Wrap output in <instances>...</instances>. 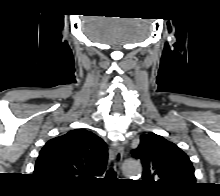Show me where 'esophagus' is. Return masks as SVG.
I'll return each mask as SVG.
<instances>
[{"label": "esophagus", "mask_w": 220, "mask_h": 196, "mask_svg": "<svg viewBox=\"0 0 220 196\" xmlns=\"http://www.w3.org/2000/svg\"><path fill=\"white\" fill-rule=\"evenodd\" d=\"M124 154V148L120 144H115L110 149V156L114 163L115 170L120 173L121 170V164Z\"/></svg>", "instance_id": "1"}]
</instances>
